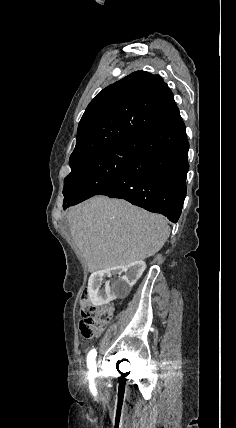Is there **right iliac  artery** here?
I'll return each instance as SVG.
<instances>
[{
  "label": "right iliac artery",
  "mask_w": 236,
  "mask_h": 428,
  "mask_svg": "<svg viewBox=\"0 0 236 428\" xmlns=\"http://www.w3.org/2000/svg\"><path fill=\"white\" fill-rule=\"evenodd\" d=\"M96 356L97 352L95 349H92L87 355V367L89 369V374H97Z\"/></svg>",
  "instance_id": "obj_1"
}]
</instances>
